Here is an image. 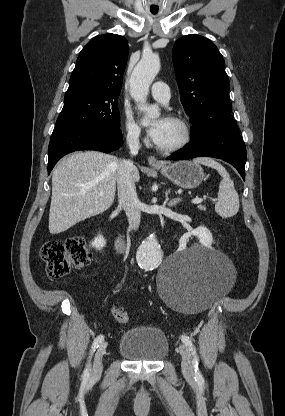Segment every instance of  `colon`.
Masks as SVG:
<instances>
[{
  "instance_id": "5ec220e1",
  "label": "colon",
  "mask_w": 285,
  "mask_h": 416,
  "mask_svg": "<svg viewBox=\"0 0 285 416\" xmlns=\"http://www.w3.org/2000/svg\"><path fill=\"white\" fill-rule=\"evenodd\" d=\"M39 256L45 263L46 273L52 278L63 277L73 267H83L91 261V253L81 236H73L65 241L47 242L41 246ZM112 313L120 324H126L129 320L120 305H114Z\"/></svg>"
}]
</instances>
